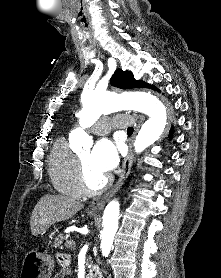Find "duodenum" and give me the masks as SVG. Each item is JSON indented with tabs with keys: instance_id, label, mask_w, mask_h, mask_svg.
Returning <instances> with one entry per match:
<instances>
[{
	"instance_id": "obj_1",
	"label": "duodenum",
	"mask_w": 221,
	"mask_h": 278,
	"mask_svg": "<svg viewBox=\"0 0 221 278\" xmlns=\"http://www.w3.org/2000/svg\"><path fill=\"white\" fill-rule=\"evenodd\" d=\"M87 278H101V275L97 271L93 270Z\"/></svg>"
}]
</instances>
